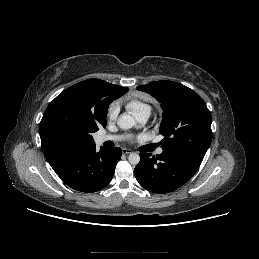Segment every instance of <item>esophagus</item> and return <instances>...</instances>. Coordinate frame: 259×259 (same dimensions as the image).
I'll return each instance as SVG.
<instances>
[{
  "mask_svg": "<svg viewBox=\"0 0 259 259\" xmlns=\"http://www.w3.org/2000/svg\"><path fill=\"white\" fill-rule=\"evenodd\" d=\"M122 153H123V154H131V153H132V150H131V149L123 148V149H122Z\"/></svg>",
  "mask_w": 259,
  "mask_h": 259,
  "instance_id": "34e87169",
  "label": "esophagus"
}]
</instances>
